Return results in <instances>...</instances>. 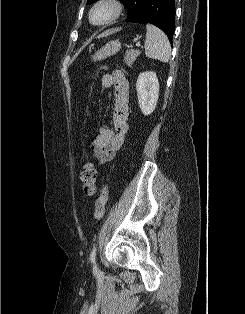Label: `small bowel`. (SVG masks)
Wrapping results in <instances>:
<instances>
[{"instance_id":"small-bowel-1","label":"small bowel","mask_w":245,"mask_h":314,"mask_svg":"<svg viewBox=\"0 0 245 314\" xmlns=\"http://www.w3.org/2000/svg\"><path fill=\"white\" fill-rule=\"evenodd\" d=\"M105 88L114 87L113 128L101 127L90 143L91 154L98 165H104L114 159L121 149L128 126L129 85L125 73L115 70L102 77Z\"/></svg>"}]
</instances>
